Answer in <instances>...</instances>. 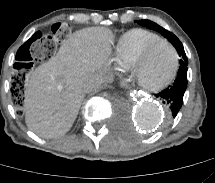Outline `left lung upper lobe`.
Returning <instances> with one entry per match:
<instances>
[{
  "mask_svg": "<svg viewBox=\"0 0 215 183\" xmlns=\"http://www.w3.org/2000/svg\"><path fill=\"white\" fill-rule=\"evenodd\" d=\"M137 23L142 26H145L147 28L156 30L160 34H162L164 37H166L173 44V46L176 48L178 54L180 55V57H181L180 65L188 64L183 45L174 34H172L171 32L167 31L166 29L162 28L161 26H159L158 24H156L150 20H139V21H137Z\"/></svg>",
  "mask_w": 215,
  "mask_h": 183,
  "instance_id": "5c2ea615",
  "label": "left lung upper lobe"
}]
</instances>
